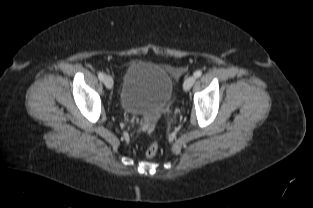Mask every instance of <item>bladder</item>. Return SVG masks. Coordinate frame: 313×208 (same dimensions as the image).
Masks as SVG:
<instances>
[{"instance_id": "1", "label": "bladder", "mask_w": 313, "mask_h": 208, "mask_svg": "<svg viewBox=\"0 0 313 208\" xmlns=\"http://www.w3.org/2000/svg\"><path fill=\"white\" fill-rule=\"evenodd\" d=\"M173 90V81L164 69L135 61L125 69L119 105L128 114L159 116L169 105Z\"/></svg>"}]
</instances>
